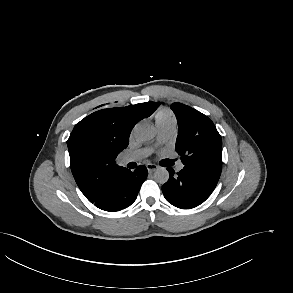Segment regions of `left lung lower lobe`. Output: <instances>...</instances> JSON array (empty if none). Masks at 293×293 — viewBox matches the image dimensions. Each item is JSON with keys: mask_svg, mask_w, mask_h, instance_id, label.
I'll return each instance as SVG.
<instances>
[{"mask_svg": "<svg viewBox=\"0 0 293 293\" xmlns=\"http://www.w3.org/2000/svg\"><path fill=\"white\" fill-rule=\"evenodd\" d=\"M169 180L162 186L166 200L181 209H190L203 203L215 189L219 172L201 166L185 165L175 173L167 168Z\"/></svg>", "mask_w": 293, "mask_h": 293, "instance_id": "1", "label": "left lung lower lobe"}]
</instances>
